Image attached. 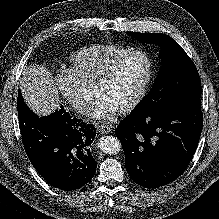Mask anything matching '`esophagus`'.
Here are the masks:
<instances>
[{
    "label": "esophagus",
    "mask_w": 219,
    "mask_h": 219,
    "mask_svg": "<svg viewBox=\"0 0 219 219\" xmlns=\"http://www.w3.org/2000/svg\"><path fill=\"white\" fill-rule=\"evenodd\" d=\"M112 130V127L106 124H102L99 126V133L100 134H109Z\"/></svg>",
    "instance_id": "34e87169"
}]
</instances>
